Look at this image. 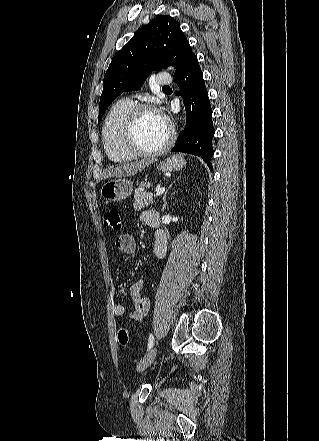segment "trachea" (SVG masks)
Listing matches in <instances>:
<instances>
[{
    "mask_svg": "<svg viewBox=\"0 0 319 441\" xmlns=\"http://www.w3.org/2000/svg\"><path fill=\"white\" fill-rule=\"evenodd\" d=\"M169 88H170L169 86H164V87H163V89H169Z\"/></svg>",
    "mask_w": 319,
    "mask_h": 441,
    "instance_id": "3493384b",
    "label": "trachea"
}]
</instances>
